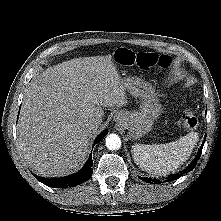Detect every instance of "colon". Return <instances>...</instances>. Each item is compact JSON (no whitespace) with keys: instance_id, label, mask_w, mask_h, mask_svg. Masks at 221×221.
Masks as SVG:
<instances>
[{"instance_id":"5ec220e1","label":"colon","mask_w":221,"mask_h":221,"mask_svg":"<svg viewBox=\"0 0 221 221\" xmlns=\"http://www.w3.org/2000/svg\"><path fill=\"white\" fill-rule=\"evenodd\" d=\"M116 59L119 63L126 66H136L147 70L154 66L168 67L171 59L166 55H157L150 52L135 53L126 48H120L116 52ZM197 118L194 113L187 109L183 115V126L187 129H194L197 126Z\"/></svg>"}]
</instances>
